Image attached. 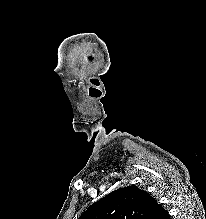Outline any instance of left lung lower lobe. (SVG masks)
Wrapping results in <instances>:
<instances>
[{
  "mask_svg": "<svg viewBox=\"0 0 206 219\" xmlns=\"http://www.w3.org/2000/svg\"><path fill=\"white\" fill-rule=\"evenodd\" d=\"M150 219H170V216L168 212L154 200Z\"/></svg>",
  "mask_w": 206,
  "mask_h": 219,
  "instance_id": "left-lung-lower-lobe-1",
  "label": "left lung lower lobe"
}]
</instances>
